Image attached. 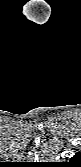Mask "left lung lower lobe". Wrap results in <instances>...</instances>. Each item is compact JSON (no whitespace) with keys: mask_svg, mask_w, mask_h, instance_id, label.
Returning <instances> with one entry per match:
<instances>
[{"mask_svg":"<svg viewBox=\"0 0 81 167\" xmlns=\"http://www.w3.org/2000/svg\"><path fill=\"white\" fill-rule=\"evenodd\" d=\"M77 159H78V156H77V155L72 158L73 161H75V160H77Z\"/></svg>","mask_w":81,"mask_h":167,"instance_id":"obj_1","label":"left lung lower lobe"}]
</instances>
